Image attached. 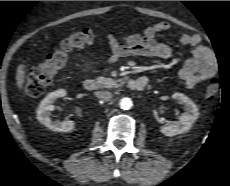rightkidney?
Wrapping results in <instances>:
<instances>
[{"mask_svg": "<svg viewBox=\"0 0 230 186\" xmlns=\"http://www.w3.org/2000/svg\"><path fill=\"white\" fill-rule=\"evenodd\" d=\"M65 89H58L49 93L40 103L37 109V119L44 124L48 129L57 132H70L75 128V123L71 120L65 121H52L50 118V112L55 109L53 103L57 98L66 96Z\"/></svg>", "mask_w": 230, "mask_h": 186, "instance_id": "obj_1", "label": "right kidney"}]
</instances>
